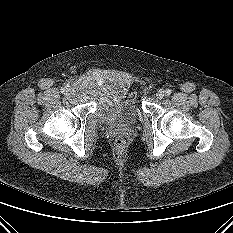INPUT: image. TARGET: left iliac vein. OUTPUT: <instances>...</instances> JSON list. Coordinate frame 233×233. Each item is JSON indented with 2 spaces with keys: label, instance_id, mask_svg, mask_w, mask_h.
<instances>
[{
  "label": "left iliac vein",
  "instance_id": "left-iliac-vein-1",
  "mask_svg": "<svg viewBox=\"0 0 233 233\" xmlns=\"http://www.w3.org/2000/svg\"><path fill=\"white\" fill-rule=\"evenodd\" d=\"M164 95H165V92H164V90L161 89V90H158L156 97L158 99H162L164 97Z\"/></svg>",
  "mask_w": 233,
  "mask_h": 233
}]
</instances>
